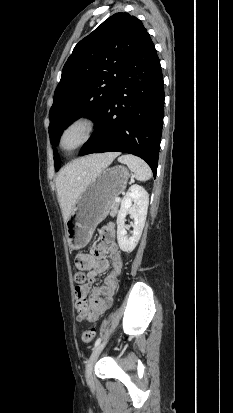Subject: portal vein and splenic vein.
I'll return each mask as SVG.
<instances>
[{
	"mask_svg": "<svg viewBox=\"0 0 233 413\" xmlns=\"http://www.w3.org/2000/svg\"><path fill=\"white\" fill-rule=\"evenodd\" d=\"M115 201H116V202H120L121 199H120L119 197H116V198H115Z\"/></svg>",
	"mask_w": 233,
	"mask_h": 413,
	"instance_id": "18ae733b",
	"label": "portal vein and splenic vein"
}]
</instances>
